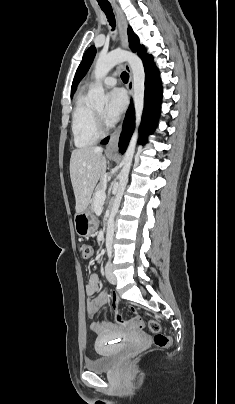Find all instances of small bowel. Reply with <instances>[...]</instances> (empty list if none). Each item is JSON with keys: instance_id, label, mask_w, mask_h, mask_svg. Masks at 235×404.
<instances>
[{"instance_id": "small-bowel-1", "label": "small bowel", "mask_w": 235, "mask_h": 404, "mask_svg": "<svg viewBox=\"0 0 235 404\" xmlns=\"http://www.w3.org/2000/svg\"><path fill=\"white\" fill-rule=\"evenodd\" d=\"M100 278L97 274L90 275L88 283L86 285V293L93 295L99 290ZM107 294L101 293L96 298L90 300L87 303V312L90 317H93L100 308L106 303ZM117 299L114 297L112 301V308L116 310ZM91 330L97 334L96 344L100 346L101 343L109 341L110 339L117 337L121 334L120 327L111 322H93L90 326Z\"/></svg>"}]
</instances>
